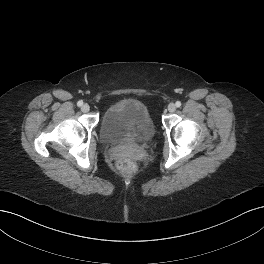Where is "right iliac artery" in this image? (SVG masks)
Wrapping results in <instances>:
<instances>
[{
	"label": "right iliac artery",
	"instance_id": "obj_1",
	"mask_svg": "<svg viewBox=\"0 0 264 264\" xmlns=\"http://www.w3.org/2000/svg\"><path fill=\"white\" fill-rule=\"evenodd\" d=\"M77 105H78L79 107H81V106L83 105V101H82V100L78 101V102H77Z\"/></svg>",
	"mask_w": 264,
	"mask_h": 264
}]
</instances>
